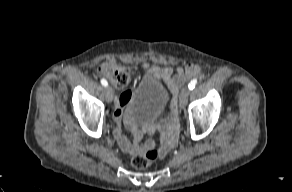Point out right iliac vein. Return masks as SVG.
I'll return each instance as SVG.
<instances>
[{
    "mask_svg": "<svg viewBox=\"0 0 292 192\" xmlns=\"http://www.w3.org/2000/svg\"><path fill=\"white\" fill-rule=\"evenodd\" d=\"M113 97H114L113 89H112V87L108 86L106 88V100H107V102L108 103L112 102Z\"/></svg>",
    "mask_w": 292,
    "mask_h": 192,
    "instance_id": "right-iliac-vein-1",
    "label": "right iliac vein"
}]
</instances>
